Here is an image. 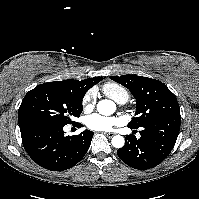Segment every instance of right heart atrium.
I'll return each mask as SVG.
<instances>
[{
	"label": "right heart atrium",
	"mask_w": 199,
	"mask_h": 199,
	"mask_svg": "<svg viewBox=\"0 0 199 199\" xmlns=\"http://www.w3.org/2000/svg\"><path fill=\"white\" fill-rule=\"evenodd\" d=\"M94 102V92L89 91L85 94L83 98V106L84 108L92 107Z\"/></svg>",
	"instance_id": "obj_1"
}]
</instances>
